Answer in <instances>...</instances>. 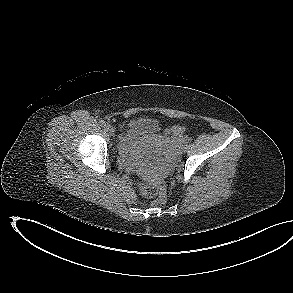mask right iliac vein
<instances>
[{
  "mask_svg": "<svg viewBox=\"0 0 293 293\" xmlns=\"http://www.w3.org/2000/svg\"><path fill=\"white\" fill-rule=\"evenodd\" d=\"M105 128H106L107 132H108L111 136L114 135V129H113V127H112L111 125H106Z\"/></svg>",
  "mask_w": 293,
  "mask_h": 293,
  "instance_id": "1",
  "label": "right iliac vein"
}]
</instances>
